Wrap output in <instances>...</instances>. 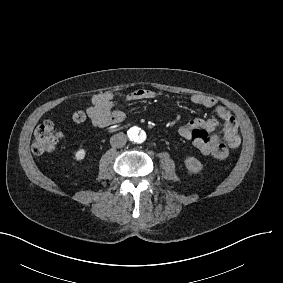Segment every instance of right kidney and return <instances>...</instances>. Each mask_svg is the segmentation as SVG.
Returning a JSON list of instances; mask_svg holds the SVG:
<instances>
[{
  "label": "right kidney",
  "mask_w": 283,
  "mask_h": 283,
  "mask_svg": "<svg viewBox=\"0 0 283 283\" xmlns=\"http://www.w3.org/2000/svg\"><path fill=\"white\" fill-rule=\"evenodd\" d=\"M76 157L78 159H82L84 157V151L83 150H80L77 154H76Z\"/></svg>",
  "instance_id": "obj_1"
}]
</instances>
